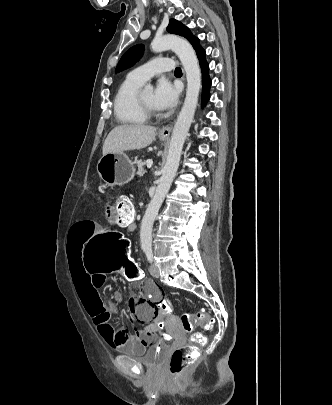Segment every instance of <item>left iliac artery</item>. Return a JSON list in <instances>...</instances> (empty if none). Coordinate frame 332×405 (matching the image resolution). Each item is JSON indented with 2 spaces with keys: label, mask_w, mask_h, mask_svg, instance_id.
Wrapping results in <instances>:
<instances>
[{
  "label": "left iliac artery",
  "mask_w": 332,
  "mask_h": 405,
  "mask_svg": "<svg viewBox=\"0 0 332 405\" xmlns=\"http://www.w3.org/2000/svg\"><path fill=\"white\" fill-rule=\"evenodd\" d=\"M144 252H145V255L147 257V260L149 262H152V260H153L152 248L151 247H145Z\"/></svg>",
  "instance_id": "obj_1"
}]
</instances>
